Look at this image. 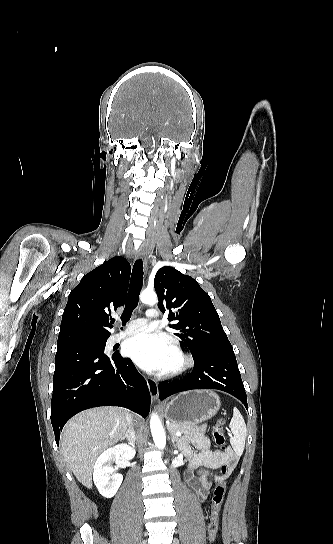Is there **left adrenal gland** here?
Here are the masks:
<instances>
[{
	"mask_svg": "<svg viewBox=\"0 0 333 544\" xmlns=\"http://www.w3.org/2000/svg\"><path fill=\"white\" fill-rule=\"evenodd\" d=\"M170 434H171V441H172L174 447H176L177 437L173 433H170Z\"/></svg>",
	"mask_w": 333,
	"mask_h": 544,
	"instance_id": "left-adrenal-gland-1",
	"label": "left adrenal gland"
}]
</instances>
